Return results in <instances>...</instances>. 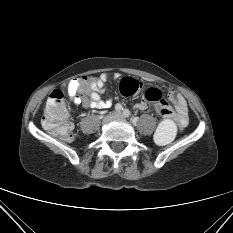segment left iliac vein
<instances>
[{
	"label": "left iliac vein",
	"mask_w": 233,
	"mask_h": 233,
	"mask_svg": "<svg viewBox=\"0 0 233 233\" xmlns=\"http://www.w3.org/2000/svg\"><path fill=\"white\" fill-rule=\"evenodd\" d=\"M117 119H121V118H123V115H121V114H117V117H116Z\"/></svg>",
	"instance_id": "left-iliac-vein-1"
}]
</instances>
